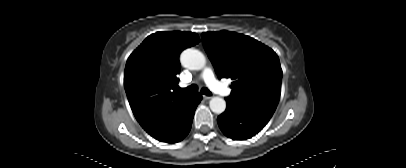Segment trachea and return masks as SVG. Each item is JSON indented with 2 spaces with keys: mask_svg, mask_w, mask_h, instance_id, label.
<instances>
[{
  "mask_svg": "<svg viewBox=\"0 0 406 168\" xmlns=\"http://www.w3.org/2000/svg\"><path fill=\"white\" fill-rule=\"evenodd\" d=\"M179 91H180V92L187 93V94H193V93H195V92L198 91V87H197L196 85H191V86H189V87H187V88H179ZM201 92H202L203 94L207 95V96H211V95H212V93H211V92L208 90V88H206V87H203V88L201 89Z\"/></svg>",
  "mask_w": 406,
  "mask_h": 168,
  "instance_id": "trachea-1",
  "label": "trachea"
}]
</instances>
